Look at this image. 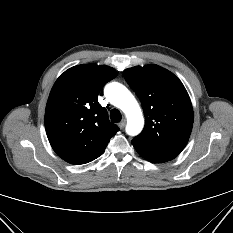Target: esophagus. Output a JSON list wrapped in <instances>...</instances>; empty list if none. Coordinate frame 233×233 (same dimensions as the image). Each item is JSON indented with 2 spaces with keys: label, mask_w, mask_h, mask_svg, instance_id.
Returning <instances> with one entry per match:
<instances>
[{
  "label": "esophagus",
  "mask_w": 233,
  "mask_h": 233,
  "mask_svg": "<svg viewBox=\"0 0 233 233\" xmlns=\"http://www.w3.org/2000/svg\"><path fill=\"white\" fill-rule=\"evenodd\" d=\"M125 125H126V120H122V121L118 124V126H119L120 129H123V128L125 127Z\"/></svg>",
  "instance_id": "obj_1"
}]
</instances>
